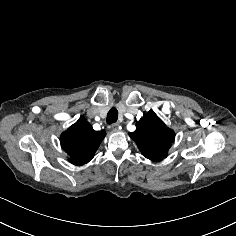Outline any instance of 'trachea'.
Returning a JSON list of instances; mask_svg holds the SVG:
<instances>
[{"mask_svg": "<svg viewBox=\"0 0 236 236\" xmlns=\"http://www.w3.org/2000/svg\"><path fill=\"white\" fill-rule=\"evenodd\" d=\"M118 119V111L115 107L111 108L107 114L106 121L108 124L115 123Z\"/></svg>", "mask_w": 236, "mask_h": 236, "instance_id": "3493384b", "label": "trachea"}]
</instances>
